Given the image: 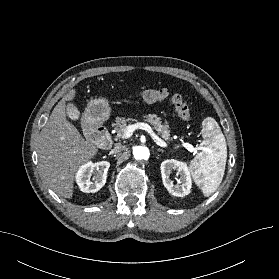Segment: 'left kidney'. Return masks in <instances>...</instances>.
<instances>
[{
    "label": "left kidney",
    "mask_w": 279,
    "mask_h": 279,
    "mask_svg": "<svg viewBox=\"0 0 279 279\" xmlns=\"http://www.w3.org/2000/svg\"><path fill=\"white\" fill-rule=\"evenodd\" d=\"M160 170L163 185L170 194L176 197H184L191 192L192 179L186 163L174 159H168L161 163ZM173 170H176L179 175V181L176 185H174L173 181L170 179V174Z\"/></svg>",
    "instance_id": "5707ae66"
}]
</instances>
